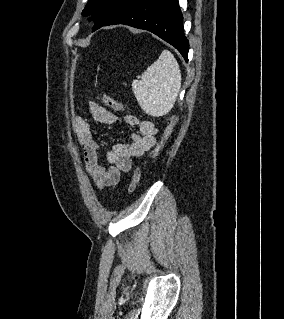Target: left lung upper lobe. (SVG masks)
Masks as SVG:
<instances>
[{"mask_svg": "<svg viewBox=\"0 0 284 319\" xmlns=\"http://www.w3.org/2000/svg\"><path fill=\"white\" fill-rule=\"evenodd\" d=\"M124 0H89L82 12L83 16L92 15L93 31L101 28L119 9Z\"/></svg>", "mask_w": 284, "mask_h": 319, "instance_id": "1", "label": "left lung upper lobe"}]
</instances>
